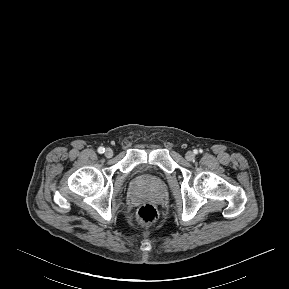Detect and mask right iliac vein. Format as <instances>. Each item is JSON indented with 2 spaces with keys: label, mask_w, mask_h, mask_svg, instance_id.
Masks as SVG:
<instances>
[{
  "label": "right iliac vein",
  "mask_w": 289,
  "mask_h": 289,
  "mask_svg": "<svg viewBox=\"0 0 289 289\" xmlns=\"http://www.w3.org/2000/svg\"><path fill=\"white\" fill-rule=\"evenodd\" d=\"M105 156H106L107 158H111V157L113 156V151H112V149L107 148V149L105 150Z\"/></svg>",
  "instance_id": "right-iliac-vein-1"
}]
</instances>
